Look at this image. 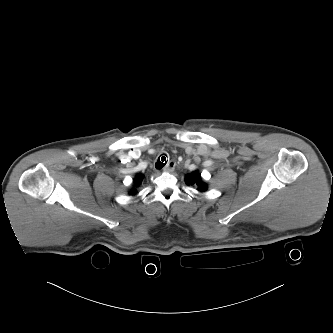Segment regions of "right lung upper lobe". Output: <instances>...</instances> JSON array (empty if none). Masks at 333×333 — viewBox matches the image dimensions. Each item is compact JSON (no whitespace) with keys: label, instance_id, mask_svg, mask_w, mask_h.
<instances>
[{"label":"right lung upper lobe","instance_id":"cb5924a9","mask_svg":"<svg viewBox=\"0 0 333 333\" xmlns=\"http://www.w3.org/2000/svg\"><path fill=\"white\" fill-rule=\"evenodd\" d=\"M144 176L142 174H138L135 179H134V182H133V189L130 191V194L131 195H135L136 194V187H138L140 185V183L142 182Z\"/></svg>","mask_w":333,"mask_h":333}]
</instances>
